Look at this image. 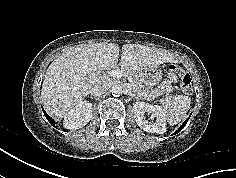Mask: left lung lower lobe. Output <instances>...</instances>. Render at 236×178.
Returning <instances> with one entry per match:
<instances>
[{"mask_svg": "<svg viewBox=\"0 0 236 178\" xmlns=\"http://www.w3.org/2000/svg\"><path fill=\"white\" fill-rule=\"evenodd\" d=\"M188 119L180 126V128L175 133H173V135L179 133L184 128V126L186 125Z\"/></svg>", "mask_w": 236, "mask_h": 178, "instance_id": "left-lung-lower-lobe-1", "label": "left lung lower lobe"}]
</instances>
